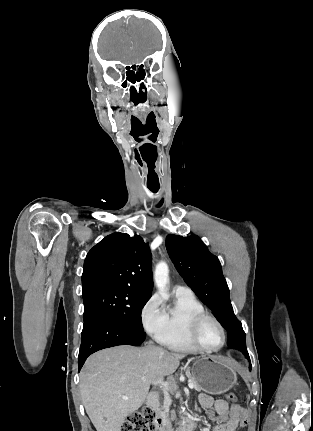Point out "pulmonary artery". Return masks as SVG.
Returning a JSON list of instances; mask_svg holds the SVG:
<instances>
[{"instance_id": "pulmonary-artery-1", "label": "pulmonary artery", "mask_w": 313, "mask_h": 431, "mask_svg": "<svg viewBox=\"0 0 313 431\" xmlns=\"http://www.w3.org/2000/svg\"><path fill=\"white\" fill-rule=\"evenodd\" d=\"M175 292L177 294H192V290L189 287L184 285H176Z\"/></svg>"}]
</instances>
